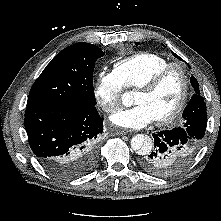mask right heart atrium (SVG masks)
<instances>
[{"label":"right heart atrium","instance_id":"obj_1","mask_svg":"<svg viewBox=\"0 0 221 221\" xmlns=\"http://www.w3.org/2000/svg\"><path fill=\"white\" fill-rule=\"evenodd\" d=\"M123 87L114 72L100 71L94 86V97L106 113L114 112L121 99Z\"/></svg>","mask_w":221,"mask_h":221}]
</instances>
